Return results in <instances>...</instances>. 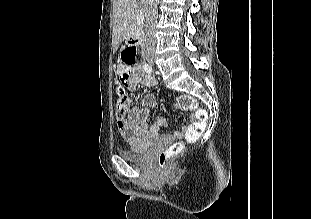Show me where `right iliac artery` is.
<instances>
[{
	"mask_svg": "<svg viewBox=\"0 0 311 219\" xmlns=\"http://www.w3.org/2000/svg\"><path fill=\"white\" fill-rule=\"evenodd\" d=\"M144 70L147 72V73H151L152 72V66L148 63H145L144 64Z\"/></svg>",
	"mask_w": 311,
	"mask_h": 219,
	"instance_id": "1",
	"label": "right iliac artery"
}]
</instances>
